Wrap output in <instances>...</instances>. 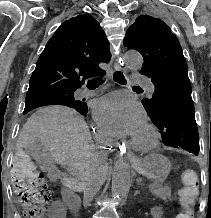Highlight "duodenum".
Masks as SVG:
<instances>
[{
	"label": "duodenum",
	"instance_id": "1",
	"mask_svg": "<svg viewBox=\"0 0 211 218\" xmlns=\"http://www.w3.org/2000/svg\"><path fill=\"white\" fill-rule=\"evenodd\" d=\"M63 199L75 217H78L79 199L77 195L69 188L64 187L62 190Z\"/></svg>",
	"mask_w": 211,
	"mask_h": 218
}]
</instances>
